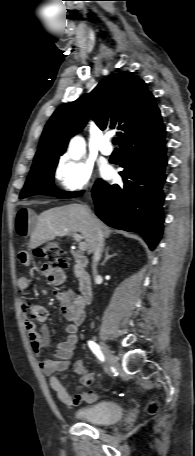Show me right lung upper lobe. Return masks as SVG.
<instances>
[{
	"label": "right lung upper lobe",
	"instance_id": "obj_1",
	"mask_svg": "<svg viewBox=\"0 0 195 456\" xmlns=\"http://www.w3.org/2000/svg\"><path fill=\"white\" fill-rule=\"evenodd\" d=\"M99 128H117L121 143L141 133L165 129L160 110L146 83L130 72H120L102 80L91 93L58 107L43 131L34 164L58 159L70 137L80 132L88 119Z\"/></svg>",
	"mask_w": 195,
	"mask_h": 456
}]
</instances>
